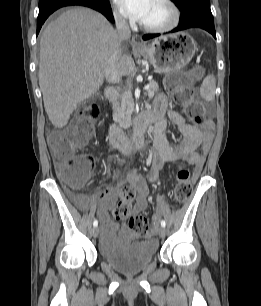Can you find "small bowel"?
<instances>
[{
  "label": "small bowel",
  "instance_id": "small-bowel-1",
  "mask_svg": "<svg viewBox=\"0 0 261 306\" xmlns=\"http://www.w3.org/2000/svg\"><path fill=\"white\" fill-rule=\"evenodd\" d=\"M167 105V96L164 93L158 94L152 112L155 118L153 154L149 164V181L152 184L158 182V172L164 163L178 160L193 165L194 178H196L202 171L214 137L212 121L202 125L191 124L182 115L168 111ZM169 124H173L181 134V140L175 145H170L166 138L165 133ZM63 166L61 162L57 163L58 172ZM92 168L93 163L91 161ZM125 183L135 192L136 201L132 214L143 212L147 207L149 193L145 179L138 171L134 170L129 173ZM120 193L121 185L105 188L100 192L97 215L104 225L106 235L103 242L105 243L112 240L108 232L113 229L114 222L109 215V211L115 206ZM78 202L83 208L92 205V199L89 196L78 198Z\"/></svg>",
  "mask_w": 261,
  "mask_h": 306
}]
</instances>
